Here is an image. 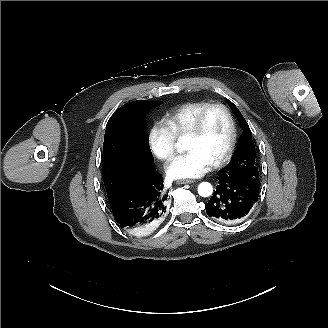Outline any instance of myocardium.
I'll list each match as a JSON object with an SVG mask.
<instances>
[{"label":"myocardium","instance_id":"obj_1","mask_svg":"<svg viewBox=\"0 0 328 328\" xmlns=\"http://www.w3.org/2000/svg\"><path fill=\"white\" fill-rule=\"evenodd\" d=\"M213 110L223 111L226 114V116L228 117L230 125H231V139L228 144V147H227L226 151L224 152V154L218 160H216L215 162L212 163V166L214 168H217V167H220V166L226 164L231 159V157L233 156L234 151L236 149L237 142H238L237 123H236L233 112L227 105H225L223 103H210L208 106H206L197 115L194 123L189 128V130L186 132L185 137L197 136L201 132L208 114Z\"/></svg>","mask_w":328,"mask_h":328}]
</instances>
